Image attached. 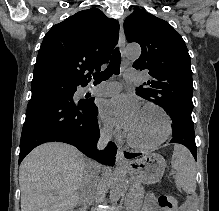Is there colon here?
<instances>
[{"label": "colon", "instance_id": "5ec220e1", "mask_svg": "<svg viewBox=\"0 0 219 211\" xmlns=\"http://www.w3.org/2000/svg\"><path fill=\"white\" fill-rule=\"evenodd\" d=\"M158 204L161 208L165 209L166 211H175L177 208V201L171 195H160L158 197Z\"/></svg>", "mask_w": 219, "mask_h": 211}]
</instances>
